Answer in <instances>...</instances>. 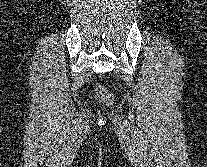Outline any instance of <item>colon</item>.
I'll return each instance as SVG.
<instances>
[{
	"label": "colon",
	"mask_w": 207,
	"mask_h": 167,
	"mask_svg": "<svg viewBox=\"0 0 207 167\" xmlns=\"http://www.w3.org/2000/svg\"><path fill=\"white\" fill-rule=\"evenodd\" d=\"M95 93L100 99L101 102H103L106 105H111L114 102V95L105 87L102 85H98L95 88Z\"/></svg>",
	"instance_id": "5ec220e1"
}]
</instances>
